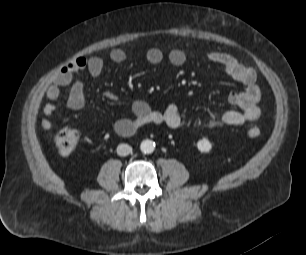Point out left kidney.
<instances>
[{
  "mask_svg": "<svg viewBox=\"0 0 306 255\" xmlns=\"http://www.w3.org/2000/svg\"><path fill=\"white\" fill-rule=\"evenodd\" d=\"M197 148L202 153H208L212 148V144L207 138H202L197 142Z\"/></svg>",
  "mask_w": 306,
  "mask_h": 255,
  "instance_id": "5707ae66",
  "label": "left kidney"
}]
</instances>
